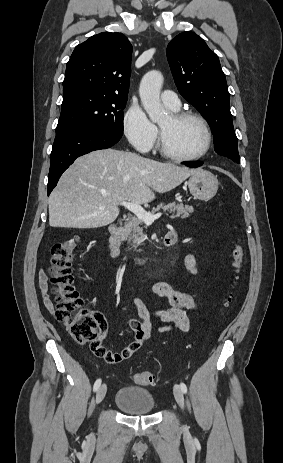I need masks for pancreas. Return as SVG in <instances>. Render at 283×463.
<instances>
[{
    "label": "pancreas",
    "instance_id": "cf45deb5",
    "mask_svg": "<svg viewBox=\"0 0 283 463\" xmlns=\"http://www.w3.org/2000/svg\"><path fill=\"white\" fill-rule=\"evenodd\" d=\"M160 209L173 213L171 218L181 217L182 219L188 218L194 211L192 206L172 202L167 205L164 203L159 204L156 208L152 209L151 213L159 211ZM174 213L176 214L174 215ZM142 224L143 220L139 219L138 217L130 218L121 228L122 239L128 241L132 245L143 242L145 239V234L143 232Z\"/></svg>",
    "mask_w": 283,
    "mask_h": 463
}]
</instances>
